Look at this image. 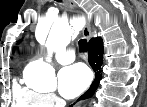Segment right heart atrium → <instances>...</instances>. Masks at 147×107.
I'll use <instances>...</instances> for the list:
<instances>
[{
	"label": "right heart atrium",
	"mask_w": 147,
	"mask_h": 107,
	"mask_svg": "<svg viewBox=\"0 0 147 107\" xmlns=\"http://www.w3.org/2000/svg\"><path fill=\"white\" fill-rule=\"evenodd\" d=\"M41 97L44 106H53L57 102V98L53 93L42 94Z\"/></svg>",
	"instance_id": "d8ad5b80"
}]
</instances>
